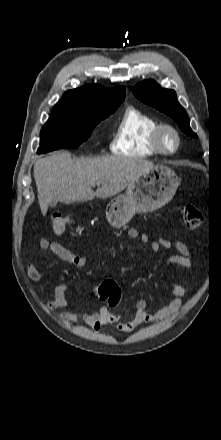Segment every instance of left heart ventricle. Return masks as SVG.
<instances>
[{"label": "left heart ventricle", "instance_id": "left-heart-ventricle-1", "mask_svg": "<svg viewBox=\"0 0 221 440\" xmlns=\"http://www.w3.org/2000/svg\"><path fill=\"white\" fill-rule=\"evenodd\" d=\"M164 142L167 147L171 148L174 144V138H173L172 134L166 133L165 138H164Z\"/></svg>", "mask_w": 221, "mask_h": 440}]
</instances>
